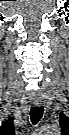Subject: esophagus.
I'll return each instance as SVG.
<instances>
[{
	"label": "esophagus",
	"mask_w": 69,
	"mask_h": 135,
	"mask_svg": "<svg viewBox=\"0 0 69 135\" xmlns=\"http://www.w3.org/2000/svg\"><path fill=\"white\" fill-rule=\"evenodd\" d=\"M34 105H35V106H41L42 103H41L40 101H35V102H34Z\"/></svg>",
	"instance_id": "obj_1"
}]
</instances>
